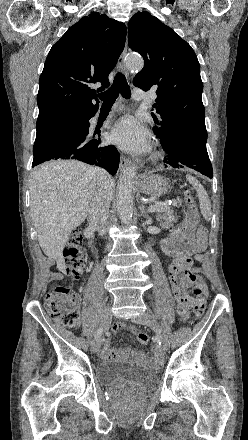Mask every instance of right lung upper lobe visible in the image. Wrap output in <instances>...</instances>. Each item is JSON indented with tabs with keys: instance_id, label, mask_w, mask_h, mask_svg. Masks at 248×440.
Instances as JSON below:
<instances>
[{
	"instance_id": "1",
	"label": "right lung upper lobe",
	"mask_w": 248,
	"mask_h": 440,
	"mask_svg": "<svg viewBox=\"0 0 248 440\" xmlns=\"http://www.w3.org/2000/svg\"><path fill=\"white\" fill-rule=\"evenodd\" d=\"M126 33L123 23L93 12L52 46L39 79L37 129L98 109L91 85L101 83L97 91L109 86L108 76L123 51Z\"/></svg>"
}]
</instances>
